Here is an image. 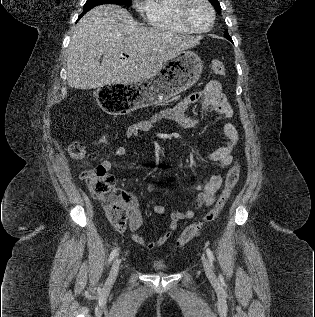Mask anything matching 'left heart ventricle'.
I'll list each match as a JSON object with an SVG mask.
<instances>
[{
	"instance_id": "b2bd125f",
	"label": "left heart ventricle",
	"mask_w": 315,
	"mask_h": 317,
	"mask_svg": "<svg viewBox=\"0 0 315 317\" xmlns=\"http://www.w3.org/2000/svg\"><path fill=\"white\" fill-rule=\"evenodd\" d=\"M188 19L195 28L203 29L209 26L211 16L207 6L196 0L188 9Z\"/></svg>"
}]
</instances>
